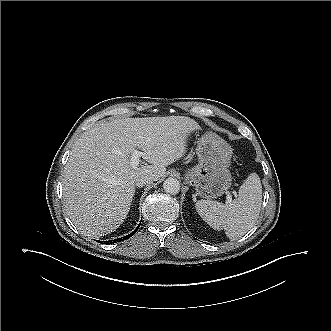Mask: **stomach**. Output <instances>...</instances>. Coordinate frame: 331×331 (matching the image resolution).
<instances>
[{
    "label": "stomach",
    "instance_id": "1",
    "mask_svg": "<svg viewBox=\"0 0 331 331\" xmlns=\"http://www.w3.org/2000/svg\"><path fill=\"white\" fill-rule=\"evenodd\" d=\"M199 163L185 173V180L194 186L196 195L215 199L223 195L231 186L228 169L232 157L229 144L218 135L207 132L197 144Z\"/></svg>",
    "mask_w": 331,
    "mask_h": 331
}]
</instances>
